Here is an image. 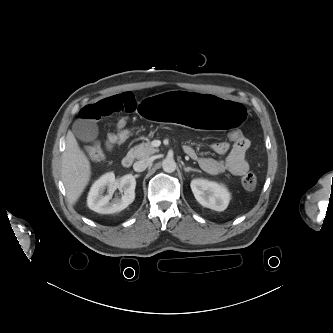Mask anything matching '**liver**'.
<instances>
[{"label": "liver", "instance_id": "obj_1", "mask_svg": "<svg viewBox=\"0 0 333 333\" xmlns=\"http://www.w3.org/2000/svg\"><path fill=\"white\" fill-rule=\"evenodd\" d=\"M62 181L67 196L75 203L87 186L91 168L85 153L80 149L78 142L71 131L66 136V148L62 156Z\"/></svg>", "mask_w": 333, "mask_h": 333}]
</instances>
